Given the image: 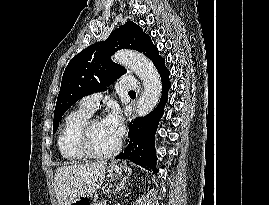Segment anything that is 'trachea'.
I'll use <instances>...</instances> for the list:
<instances>
[{
  "mask_svg": "<svg viewBox=\"0 0 269 205\" xmlns=\"http://www.w3.org/2000/svg\"><path fill=\"white\" fill-rule=\"evenodd\" d=\"M129 94H136L134 91H129Z\"/></svg>",
  "mask_w": 269,
  "mask_h": 205,
  "instance_id": "3493384b",
  "label": "trachea"
}]
</instances>
